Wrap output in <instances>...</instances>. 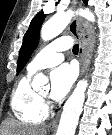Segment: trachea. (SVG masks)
I'll return each instance as SVG.
<instances>
[{
    "label": "trachea",
    "instance_id": "1",
    "mask_svg": "<svg viewBox=\"0 0 112 135\" xmlns=\"http://www.w3.org/2000/svg\"><path fill=\"white\" fill-rule=\"evenodd\" d=\"M72 51H73L74 54H77L78 51H79V45H78V44H75V45L73 46Z\"/></svg>",
    "mask_w": 112,
    "mask_h": 135
}]
</instances>
